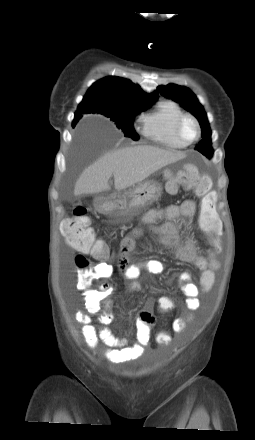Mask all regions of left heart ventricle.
Here are the masks:
<instances>
[{
    "label": "left heart ventricle",
    "mask_w": 255,
    "mask_h": 440,
    "mask_svg": "<svg viewBox=\"0 0 255 440\" xmlns=\"http://www.w3.org/2000/svg\"><path fill=\"white\" fill-rule=\"evenodd\" d=\"M182 133L186 139L192 140L196 134V128L194 124L191 121H186L182 126Z\"/></svg>",
    "instance_id": "obj_1"
}]
</instances>
